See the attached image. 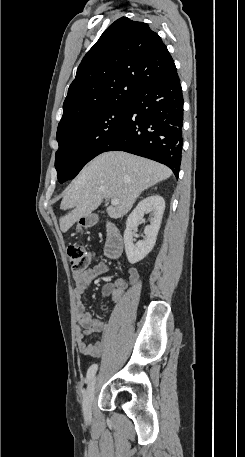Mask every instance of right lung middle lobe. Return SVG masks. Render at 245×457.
<instances>
[{
    "instance_id": "right-lung-middle-lobe-1",
    "label": "right lung middle lobe",
    "mask_w": 245,
    "mask_h": 457,
    "mask_svg": "<svg viewBox=\"0 0 245 457\" xmlns=\"http://www.w3.org/2000/svg\"><path fill=\"white\" fill-rule=\"evenodd\" d=\"M130 101L111 102L58 126L55 168L60 183L73 179L87 162L105 151L125 120Z\"/></svg>"
}]
</instances>
